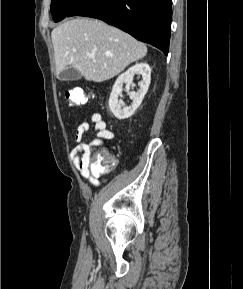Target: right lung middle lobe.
Segmentation results:
<instances>
[{
  "label": "right lung middle lobe",
  "instance_id": "obj_1",
  "mask_svg": "<svg viewBox=\"0 0 243 289\" xmlns=\"http://www.w3.org/2000/svg\"><path fill=\"white\" fill-rule=\"evenodd\" d=\"M85 0H52L50 11L55 22L70 17L73 11L78 8Z\"/></svg>",
  "mask_w": 243,
  "mask_h": 289
}]
</instances>
